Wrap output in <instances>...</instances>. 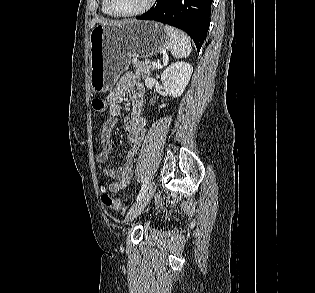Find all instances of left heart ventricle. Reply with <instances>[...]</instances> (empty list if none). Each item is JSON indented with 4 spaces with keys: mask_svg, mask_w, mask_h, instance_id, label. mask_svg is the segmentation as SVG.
<instances>
[{
    "mask_svg": "<svg viewBox=\"0 0 315 293\" xmlns=\"http://www.w3.org/2000/svg\"><path fill=\"white\" fill-rule=\"evenodd\" d=\"M115 6L122 12H133L141 9L148 0H114Z\"/></svg>",
    "mask_w": 315,
    "mask_h": 293,
    "instance_id": "1",
    "label": "left heart ventricle"
}]
</instances>
